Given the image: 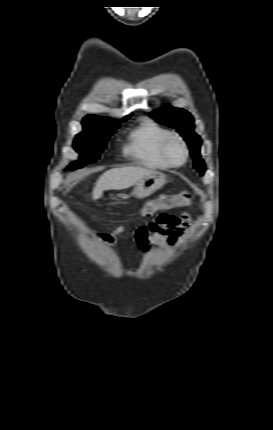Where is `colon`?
Segmentation results:
<instances>
[{
    "label": "colon",
    "mask_w": 273,
    "mask_h": 430,
    "mask_svg": "<svg viewBox=\"0 0 273 430\" xmlns=\"http://www.w3.org/2000/svg\"><path fill=\"white\" fill-rule=\"evenodd\" d=\"M192 202L191 195L188 192L176 194H163L155 200L146 202L139 210L143 217H151L160 209H171L176 207L189 206Z\"/></svg>",
    "instance_id": "colon-1"
}]
</instances>
